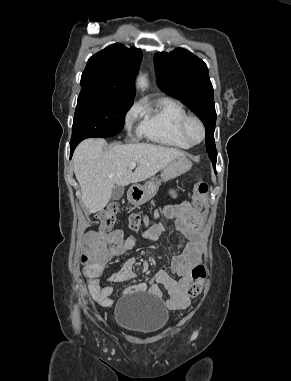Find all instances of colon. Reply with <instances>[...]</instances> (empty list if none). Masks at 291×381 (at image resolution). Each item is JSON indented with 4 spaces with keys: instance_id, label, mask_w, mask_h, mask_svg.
Segmentation results:
<instances>
[{
    "instance_id": "5ec220e1",
    "label": "colon",
    "mask_w": 291,
    "mask_h": 381,
    "mask_svg": "<svg viewBox=\"0 0 291 381\" xmlns=\"http://www.w3.org/2000/svg\"><path fill=\"white\" fill-rule=\"evenodd\" d=\"M209 187L200 178L196 180L194 187V201L197 206L202 205L208 195ZM118 215V207L112 204L100 211L96 215V219L99 225V231L101 233H106L109 231L116 222ZM142 224V220L138 215H134L130 219V228L137 230ZM105 253L106 249L98 244L95 248L84 249L82 253V262L85 265L84 273L87 277H98L105 265ZM207 271L203 264H197L192 269L193 282L189 285L187 289V297L190 300L198 297L202 290L204 281L206 279Z\"/></svg>"
}]
</instances>
